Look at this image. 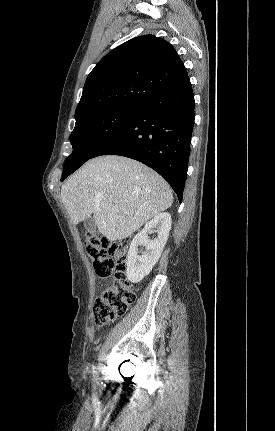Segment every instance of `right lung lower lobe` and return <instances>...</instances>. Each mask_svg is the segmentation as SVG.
Wrapping results in <instances>:
<instances>
[{
    "label": "right lung lower lobe",
    "instance_id": "98d812e1",
    "mask_svg": "<svg viewBox=\"0 0 275 431\" xmlns=\"http://www.w3.org/2000/svg\"><path fill=\"white\" fill-rule=\"evenodd\" d=\"M194 106L192 85L187 75L144 102L127 125L92 158L121 155L140 161L163 176L181 202L194 126Z\"/></svg>",
    "mask_w": 275,
    "mask_h": 431
}]
</instances>
